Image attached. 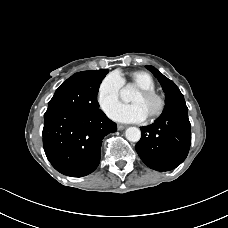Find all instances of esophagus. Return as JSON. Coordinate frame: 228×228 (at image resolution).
Masks as SVG:
<instances>
[{"label": "esophagus", "instance_id": "obj_1", "mask_svg": "<svg viewBox=\"0 0 228 228\" xmlns=\"http://www.w3.org/2000/svg\"><path fill=\"white\" fill-rule=\"evenodd\" d=\"M126 127H127V126L122 125V124H118V125H117V129L120 130V131H121V130H124Z\"/></svg>", "mask_w": 228, "mask_h": 228}]
</instances>
